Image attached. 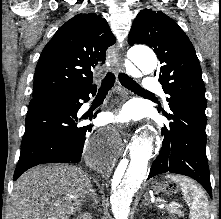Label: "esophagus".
<instances>
[{"mask_svg": "<svg viewBox=\"0 0 221 219\" xmlns=\"http://www.w3.org/2000/svg\"><path fill=\"white\" fill-rule=\"evenodd\" d=\"M111 63L116 67L118 72L124 71V64L119 56L118 49L115 47L112 49Z\"/></svg>", "mask_w": 221, "mask_h": 219, "instance_id": "1", "label": "esophagus"}]
</instances>
